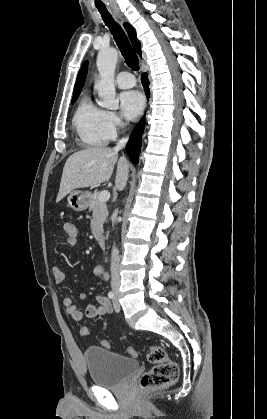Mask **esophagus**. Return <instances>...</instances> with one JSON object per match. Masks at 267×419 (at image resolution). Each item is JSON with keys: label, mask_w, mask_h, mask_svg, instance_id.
Here are the masks:
<instances>
[{"label": "esophagus", "mask_w": 267, "mask_h": 419, "mask_svg": "<svg viewBox=\"0 0 267 419\" xmlns=\"http://www.w3.org/2000/svg\"><path fill=\"white\" fill-rule=\"evenodd\" d=\"M114 12L118 17H121V14L119 13V11L116 8L114 9Z\"/></svg>", "instance_id": "obj_1"}]
</instances>
